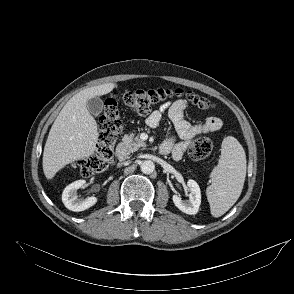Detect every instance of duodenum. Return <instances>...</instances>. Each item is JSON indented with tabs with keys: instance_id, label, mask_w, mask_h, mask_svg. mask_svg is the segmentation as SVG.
<instances>
[{
	"instance_id": "410a0bca",
	"label": "duodenum",
	"mask_w": 294,
	"mask_h": 294,
	"mask_svg": "<svg viewBox=\"0 0 294 294\" xmlns=\"http://www.w3.org/2000/svg\"><path fill=\"white\" fill-rule=\"evenodd\" d=\"M166 150V145L161 144L160 151L164 153ZM116 155L120 161H125L127 158V147L124 142H120L116 148Z\"/></svg>"
}]
</instances>
